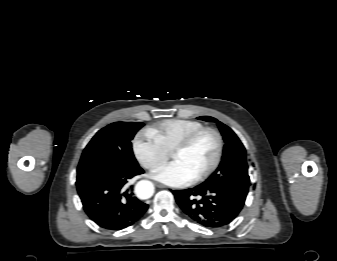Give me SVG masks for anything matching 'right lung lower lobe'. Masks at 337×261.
<instances>
[{"label": "right lung lower lobe", "instance_id": "98d812e1", "mask_svg": "<svg viewBox=\"0 0 337 261\" xmlns=\"http://www.w3.org/2000/svg\"><path fill=\"white\" fill-rule=\"evenodd\" d=\"M142 173L143 169L136 167L77 186L83 208L90 219L107 230H121L137 222L148 205L127 189V183Z\"/></svg>", "mask_w": 337, "mask_h": 261}]
</instances>
